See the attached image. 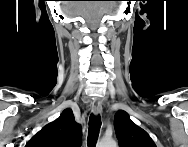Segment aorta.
Listing matches in <instances>:
<instances>
[{"mask_svg": "<svg viewBox=\"0 0 188 147\" xmlns=\"http://www.w3.org/2000/svg\"><path fill=\"white\" fill-rule=\"evenodd\" d=\"M99 147H116V142L112 138H104L99 142Z\"/></svg>", "mask_w": 188, "mask_h": 147, "instance_id": "1", "label": "aorta"}]
</instances>
